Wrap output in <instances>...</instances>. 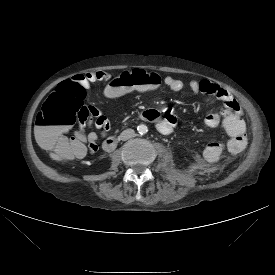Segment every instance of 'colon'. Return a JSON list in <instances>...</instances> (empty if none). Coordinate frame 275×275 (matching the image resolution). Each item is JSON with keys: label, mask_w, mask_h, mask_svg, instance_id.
<instances>
[{"label": "colon", "mask_w": 275, "mask_h": 275, "mask_svg": "<svg viewBox=\"0 0 275 275\" xmlns=\"http://www.w3.org/2000/svg\"><path fill=\"white\" fill-rule=\"evenodd\" d=\"M161 84L159 74L138 70L108 80L105 90L108 95L117 97L146 90L155 91ZM85 96L86 88L79 82H61L49 95L36 117L38 143L57 159L73 156L81 150L79 142L69 139L64 132L76 123L84 124L92 114L93 108L84 104Z\"/></svg>", "instance_id": "5ec220e1"}]
</instances>
